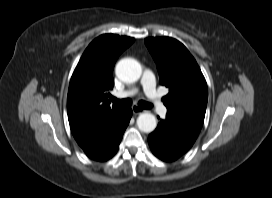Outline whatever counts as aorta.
<instances>
[{"mask_svg": "<svg viewBox=\"0 0 272 198\" xmlns=\"http://www.w3.org/2000/svg\"><path fill=\"white\" fill-rule=\"evenodd\" d=\"M115 73L123 82L133 83L141 77L142 68L136 60L124 58L117 63ZM137 126L140 131L151 133L157 126L156 118L151 113H143L137 118Z\"/></svg>", "mask_w": 272, "mask_h": 198, "instance_id": "1", "label": "aorta"}]
</instances>
